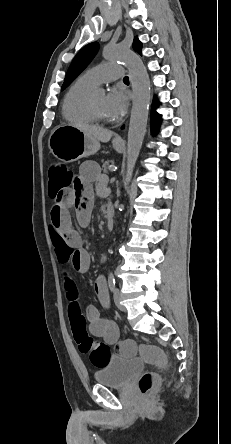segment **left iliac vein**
I'll list each match as a JSON object with an SVG mask.
<instances>
[{
    "label": "left iliac vein",
    "mask_w": 231,
    "mask_h": 444,
    "mask_svg": "<svg viewBox=\"0 0 231 444\" xmlns=\"http://www.w3.org/2000/svg\"><path fill=\"white\" fill-rule=\"evenodd\" d=\"M114 302L120 311L126 312L125 306L121 303V292L117 288H115L114 290Z\"/></svg>",
    "instance_id": "4c4485c4"
}]
</instances>
